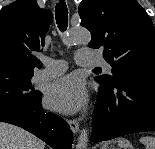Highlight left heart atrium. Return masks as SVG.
Wrapping results in <instances>:
<instances>
[{
  "instance_id": "39dd6f15",
  "label": "left heart atrium",
  "mask_w": 155,
  "mask_h": 149,
  "mask_svg": "<svg viewBox=\"0 0 155 149\" xmlns=\"http://www.w3.org/2000/svg\"><path fill=\"white\" fill-rule=\"evenodd\" d=\"M45 101L52 110L74 113L86 103L83 82L76 75L70 74L53 82L47 89Z\"/></svg>"
}]
</instances>
